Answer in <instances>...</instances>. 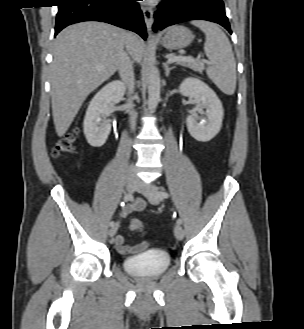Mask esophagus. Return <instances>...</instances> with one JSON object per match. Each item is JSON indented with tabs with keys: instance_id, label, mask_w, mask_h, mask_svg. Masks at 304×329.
<instances>
[{
	"instance_id": "obj_1",
	"label": "esophagus",
	"mask_w": 304,
	"mask_h": 329,
	"mask_svg": "<svg viewBox=\"0 0 304 329\" xmlns=\"http://www.w3.org/2000/svg\"><path fill=\"white\" fill-rule=\"evenodd\" d=\"M142 12H143L144 21H145L148 33L151 35L152 25L154 22L153 10L151 7L144 5V6H142Z\"/></svg>"
}]
</instances>
